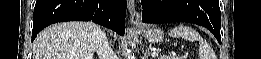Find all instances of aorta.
Instances as JSON below:
<instances>
[{
    "instance_id": "aorta-1",
    "label": "aorta",
    "mask_w": 261,
    "mask_h": 59,
    "mask_svg": "<svg viewBox=\"0 0 261 59\" xmlns=\"http://www.w3.org/2000/svg\"><path fill=\"white\" fill-rule=\"evenodd\" d=\"M128 59H134V55L131 54V51H128Z\"/></svg>"
}]
</instances>
